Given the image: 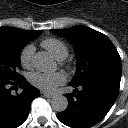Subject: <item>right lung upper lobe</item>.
Here are the masks:
<instances>
[{
	"label": "right lung upper lobe",
	"instance_id": "right-lung-upper-lobe-1",
	"mask_svg": "<svg viewBox=\"0 0 128 128\" xmlns=\"http://www.w3.org/2000/svg\"><path fill=\"white\" fill-rule=\"evenodd\" d=\"M5 32H15L23 35H34L38 31H30V30H22L18 28H13V27H0V33H5Z\"/></svg>",
	"mask_w": 128,
	"mask_h": 128
}]
</instances>
